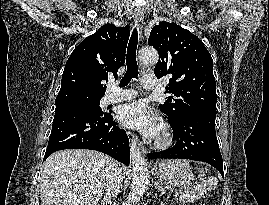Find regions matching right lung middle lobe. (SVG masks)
Masks as SVG:
<instances>
[{
    "mask_svg": "<svg viewBox=\"0 0 269 205\" xmlns=\"http://www.w3.org/2000/svg\"><path fill=\"white\" fill-rule=\"evenodd\" d=\"M100 102H88V103H81V104H74V105H68V106H62V107H56L55 113L60 112H74V111H86V112H93L99 115H103L106 113H103L100 106Z\"/></svg>",
    "mask_w": 269,
    "mask_h": 205,
    "instance_id": "obj_1",
    "label": "right lung middle lobe"
}]
</instances>
